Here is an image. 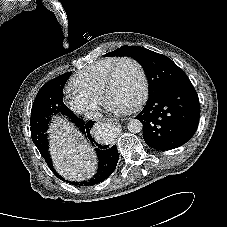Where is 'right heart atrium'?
Masks as SVG:
<instances>
[{"instance_id":"obj_1","label":"right heart atrium","mask_w":227,"mask_h":227,"mask_svg":"<svg viewBox=\"0 0 227 227\" xmlns=\"http://www.w3.org/2000/svg\"><path fill=\"white\" fill-rule=\"evenodd\" d=\"M66 103L77 114L93 117L100 108L101 99L94 98L81 92H68Z\"/></svg>"}]
</instances>
